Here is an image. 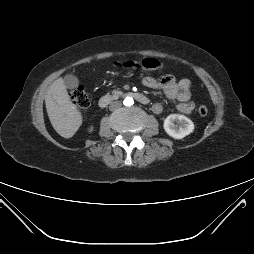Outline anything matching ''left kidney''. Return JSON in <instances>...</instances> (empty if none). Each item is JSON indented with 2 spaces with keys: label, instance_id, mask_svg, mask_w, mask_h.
I'll use <instances>...</instances> for the list:
<instances>
[{
  "label": "left kidney",
  "instance_id": "5707ae66",
  "mask_svg": "<svg viewBox=\"0 0 254 254\" xmlns=\"http://www.w3.org/2000/svg\"><path fill=\"white\" fill-rule=\"evenodd\" d=\"M164 129L169 136L182 139L193 132L194 124L184 115L171 114L164 120Z\"/></svg>",
  "mask_w": 254,
  "mask_h": 254
}]
</instances>
